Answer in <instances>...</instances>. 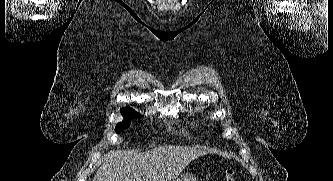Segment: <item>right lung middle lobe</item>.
I'll use <instances>...</instances> for the list:
<instances>
[{"mask_svg":"<svg viewBox=\"0 0 333 181\" xmlns=\"http://www.w3.org/2000/svg\"><path fill=\"white\" fill-rule=\"evenodd\" d=\"M122 114L125 120L116 125L115 128L116 133H119L120 131L127 129L130 126V119L140 117V115L135 113L133 110L122 112Z\"/></svg>","mask_w":333,"mask_h":181,"instance_id":"1","label":"right lung middle lobe"}]
</instances>
